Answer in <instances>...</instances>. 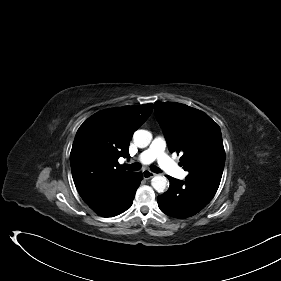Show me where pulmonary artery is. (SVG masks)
Returning <instances> with one entry per match:
<instances>
[{"label":"pulmonary artery","mask_w":281,"mask_h":281,"mask_svg":"<svg viewBox=\"0 0 281 281\" xmlns=\"http://www.w3.org/2000/svg\"><path fill=\"white\" fill-rule=\"evenodd\" d=\"M166 141L164 137L157 136L152 141L148 149L143 151L138 161L143 164H149L154 160H157L159 166L169 175L182 179L185 177V172L175 162H173L169 156L165 153Z\"/></svg>","instance_id":"1"}]
</instances>
